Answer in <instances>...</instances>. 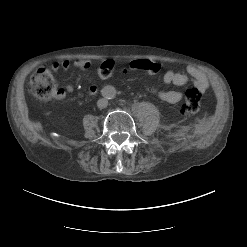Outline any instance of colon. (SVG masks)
Returning a JSON list of instances; mask_svg holds the SVG:
<instances>
[{"mask_svg": "<svg viewBox=\"0 0 247 247\" xmlns=\"http://www.w3.org/2000/svg\"><path fill=\"white\" fill-rule=\"evenodd\" d=\"M115 71V66L111 61H104L97 68L96 74L99 77H108ZM28 91L34 97L44 101L51 102L60 94L57 84L49 71L44 66L39 67L29 78ZM200 92L195 89H187L182 103L179 106L181 115L190 117L196 114L200 108Z\"/></svg>", "mask_w": 247, "mask_h": 247, "instance_id": "5ec220e1", "label": "colon"}]
</instances>
